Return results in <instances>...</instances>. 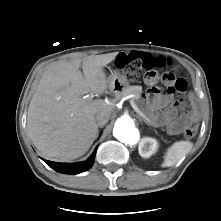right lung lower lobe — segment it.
I'll list each match as a JSON object with an SVG mask.
<instances>
[{
	"label": "right lung lower lobe",
	"mask_w": 221,
	"mask_h": 221,
	"mask_svg": "<svg viewBox=\"0 0 221 221\" xmlns=\"http://www.w3.org/2000/svg\"><path fill=\"white\" fill-rule=\"evenodd\" d=\"M97 149V148H96ZM96 149L91 155V157L86 160L85 162H77V163H58V162H52V161H44L49 165L52 169L59 173H64V174H79L81 172H84L88 170L94 163V159L96 156Z\"/></svg>",
	"instance_id": "98d812e1"
}]
</instances>
